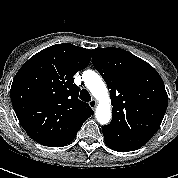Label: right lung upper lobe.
<instances>
[{
    "instance_id": "1",
    "label": "right lung upper lobe",
    "mask_w": 178,
    "mask_h": 178,
    "mask_svg": "<svg viewBox=\"0 0 178 178\" xmlns=\"http://www.w3.org/2000/svg\"><path fill=\"white\" fill-rule=\"evenodd\" d=\"M90 60V49L55 44L35 54L17 72L11 102L20 124L39 144L67 145L94 113L78 99L73 78Z\"/></svg>"
}]
</instances>
